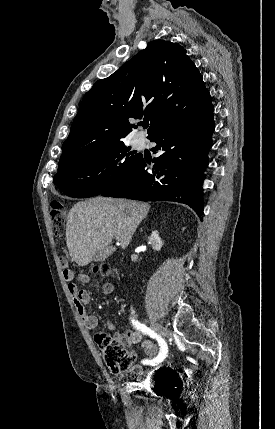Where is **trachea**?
<instances>
[{"label": "trachea", "mask_w": 275, "mask_h": 429, "mask_svg": "<svg viewBox=\"0 0 275 429\" xmlns=\"http://www.w3.org/2000/svg\"><path fill=\"white\" fill-rule=\"evenodd\" d=\"M142 126H143V128H148V126H149V122H144L143 124H142Z\"/></svg>", "instance_id": "3493384b"}]
</instances>
